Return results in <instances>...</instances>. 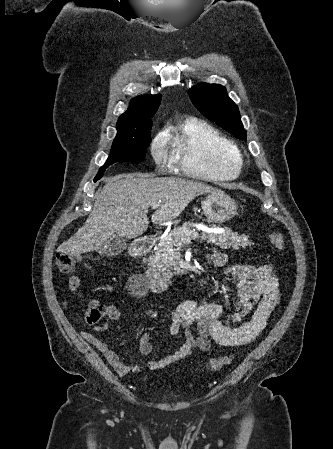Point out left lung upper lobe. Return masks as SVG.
Listing matches in <instances>:
<instances>
[{"mask_svg": "<svg viewBox=\"0 0 333 449\" xmlns=\"http://www.w3.org/2000/svg\"><path fill=\"white\" fill-rule=\"evenodd\" d=\"M195 107L208 119L231 132L240 139H246V131L240 120L237 105L228 97L225 87L218 84L201 83L189 90Z\"/></svg>", "mask_w": 333, "mask_h": 449, "instance_id": "left-lung-upper-lobe-1", "label": "left lung upper lobe"}]
</instances>
